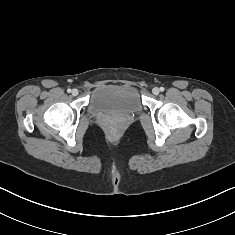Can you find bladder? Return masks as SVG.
Returning a JSON list of instances; mask_svg holds the SVG:
<instances>
[{"instance_id": "bladder-1", "label": "bladder", "mask_w": 235, "mask_h": 235, "mask_svg": "<svg viewBox=\"0 0 235 235\" xmlns=\"http://www.w3.org/2000/svg\"><path fill=\"white\" fill-rule=\"evenodd\" d=\"M88 109L92 115L126 116L141 112L142 104L131 87L107 85L93 92Z\"/></svg>"}]
</instances>
